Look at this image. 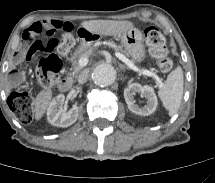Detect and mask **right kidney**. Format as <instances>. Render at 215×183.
<instances>
[{"mask_svg":"<svg viewBox=\"0 0 215 183\" xmlns=\"http://www.w3.org/2000/svg\"><path fill=\"white\" fill-rule=\"evenodd\" d=\"M65 96L59 94L50 103L47 109V119L57 127H68L75 123L78 118V106L74 105L69 111L62 108Z\"/></svg>","mask_w":215,"mask_h":183,"instance_id":"1","label":"right kidney"}]
</instances>
